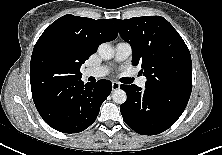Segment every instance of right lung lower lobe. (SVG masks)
Returning a JSON list of instances; mask_svg holds the SVG:
<instances>
[{
  "label": "right lung lower lobe",
  "instance_id": "right-lung-lower-lobe-1",
  "mask_svg": "<svg viewBox=\"0 0 222 155\" xmlns=\"http://www.w3.org/2000/svg\"><path fill=\"white\" fill-rule=\"evenodd\" d=\"M106 80L84 85L81 77L33 92L35 106L43 120L63 133H78L96 120L100 106L111 93Z\"/></svg>",
  "mask_w": 222,
  "mask_h": 155
}]
</instances>
